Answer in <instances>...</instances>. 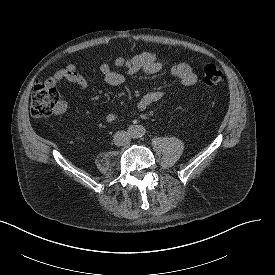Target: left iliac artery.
Here are the masks:
<instances>
[{
  "label": "left iliac artery",
  "instance_id": "left-iliac-artery-1",
  "mask_svg": "<svg viewBox=\"0 0 275 275\" xmlns=\"http://www.w3.org/2000/svg\"><path fill=\"white\" fill-rule=\"evenodd\" d=\"M144 133H145V129L141 128V134H144Z\"/></svg>",
  "mask_w": 275,
  "mask_h": 275
}]
</instances>
